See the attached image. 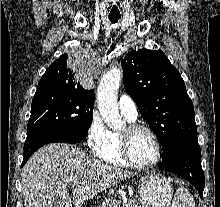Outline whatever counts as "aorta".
Here are the masks:
<instances>
[{"mask_svg": "<svg viewBox=\"0 0 220 207\" xmlns=\"http://www.w3.org/2000/svg\"><path fill=\"white\" fill-rule=\"evenodd\" d=\"M121 78L122 70L114 67L103 75L97 88L98 110L102 119L112 130H119L124 125L117 104V93Z\"/></svg>", "mask_w": 220, "mask_h": 207, "instance_id": "762f6f07", "label": "aorta"}]
</instances>
